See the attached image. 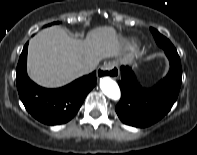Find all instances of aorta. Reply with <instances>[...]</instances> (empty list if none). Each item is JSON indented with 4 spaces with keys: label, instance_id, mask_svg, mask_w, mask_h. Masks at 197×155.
I'll return each mask as SVG.
<instances>
[{
    "label": "aorta",
    "instance_id": "762f6f07",
    "mask_svg": "<svg viewBox=\"0 0 197 155\" xmlns=\"http://www.w3.org/2000/svg\"><path fill=\"white\" fill-rule=\"evenodd\" d=\"M100 88L102 92L112 100H119L121 93L118 84L109 77L100 79Z\"/></svg>",
    "mask_w": 197,
    "mask_h": 155
}]
</instances>
